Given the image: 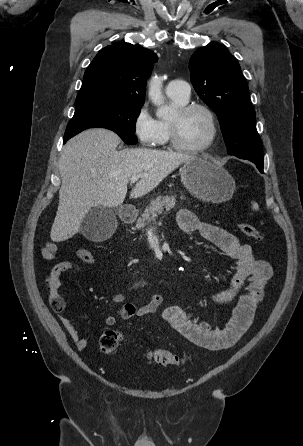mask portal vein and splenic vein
<instances>
[{
  "instance_id": "18ae733b",
  "label": "portal vein and splenic vein",
  "mask_w": 303,
  "mask_h": 446,
  "mask_svg": "<svg viewBox=\"0 0 303 446\" xmlns=\"http://www.w3.org/2000/svg\"><path fill=\"white\" fill-rule=\"evenodd\" d=\"M141 175H134L130 178L131 183H135L139 178H141Z\"/></svg>"
}]
</instances>
